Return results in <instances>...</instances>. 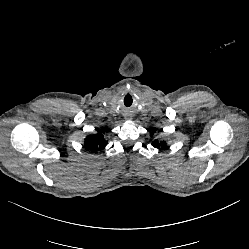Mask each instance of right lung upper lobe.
<instances>
[{"mask_svg": "<svg viewBox=\"0 0 249 249\" xmlns=\"http://www.w3.org/2000/svg\"><path fill=\"white\" fill-rule=\"evenodd\" d=\"M106 144L107 141L104 139L101 132L96 135L87 136L84 142L85 148L92 152L104 148Z\"/></svg>", "mask_w": 249, "mask_h": 249, "instance_id": "obj_1", "label": "right lung upper lobe"}]
</instances>
